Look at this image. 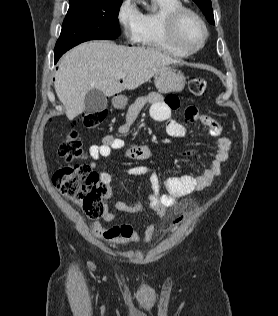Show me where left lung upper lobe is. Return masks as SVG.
Returning <instances> with one entry per match:
<instances>
[{
  "mask_svg": "<svg viewBox=\"0 0 278 316\" xmlns=\"http://www.w3.org/2000/svg\"><path fill=\"white\" fill-rule=\"evenodd\" d=\"M193 1L202 10L203 14L206 16V19L211 24H215L211 1L210 0H193Z\"/></svg>",
  "mask_w": 278,
  "mask_h": 316,
  "instance_id": "1",
  "label": "left lung upper lobe"
}]
</instances>
